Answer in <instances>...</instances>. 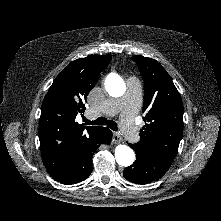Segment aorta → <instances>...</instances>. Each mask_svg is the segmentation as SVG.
<instances>
[{"label": "aorta", "instance_id": "762f6f07", "mask_svg": "<svg viewBox=\"0 0 221 221\" xmlns=\"http://www.w3.org/2000/svg\"><path fill=\"white\" fill-rule=\"evenodd\" d=\"M105 89L112 97H120L125 93L126 85L123 79L115 73L106 77ZM115 159L120 166H130L135 160L134 151L126 145H118L115 149Z\"/></svg>", "mask_w": 221, "mask_h": 221}]
</instances>
